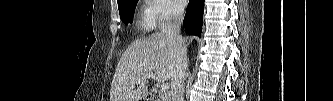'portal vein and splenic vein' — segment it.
<instances>
[{"mask_svg": "<svg viewBox=\"0 0 333 101\" xmlns=\"http://www.w3.org/2000/svg\"><path fill=\"white\" fill-rule=\"evenodd\" d=\"M151 78H152V79H155V75H154L153 73L145 75V76L141 79V81H145L146 79H151ZM141 81H139L138 83H140ZM168 89H169V85H168L167 83H162V85H161V90H162L163 92H166Z\"/></svg>", "mask_w": 333, "mask_h": 101, "instance_id": "portal-vein-and-splenic-vein-1", "label": "portal vein and splenic vein"}]
</instances>
